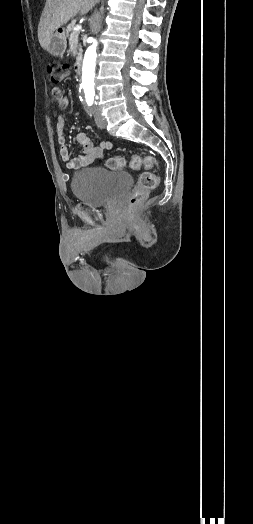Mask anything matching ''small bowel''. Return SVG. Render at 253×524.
Wrapping results in <instances>:
<instances>
[{
	"instance_id": "small-bowel-1",
	"label": "small bowel",
	"mask_w": 253,
	"mask_h": 524,
	"mask_svg": "<svg viewBox=\"0 0 253 524\" xmlns=\"http://www.w3.org/2000/svg\"><path fill=\"white\" fill-rule=\"evenodd\" d=\"M52 95L61 108L68 107L69 100L63 95L60 88H53ZM64 128L65 119L63 116H59L56 120L57 141L61 146V158L69 169H79L89 166L95 160L102 159L104 157L105 150L111 148L112 146L110 142H102L99 145H96L91 141L87 134L81 132L77 135V141L82 146V154L71 157L67 147V138L64 134Z\"/></svg>"
}]
</instances>
